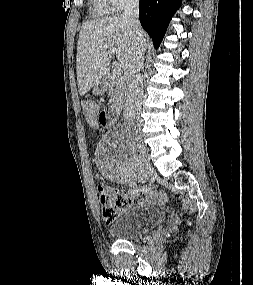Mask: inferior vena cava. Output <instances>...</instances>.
Listing matches in <instances>:
<instances>
[{
  "instance_id": "obj_1",
  "label": "inferior vena cava",
  "mask_w": 253,
  "mask_h": 285,
  "mask_svg": "<svg viewBox=\"0 0 253 285\" xmlns=\"http://www.w3.org/2000/svg\"><path fill=\"white\" fill-rule=\"evenodd\" d=\"M139 0H126L123 19L129 23L133 33V45L124 66V77L128 86V96L125 104V115L135 119L140 111L143 99V88L140 71L143 67L145 44L140 31L138 19Z\"/></svg>"
}]
</instances>
